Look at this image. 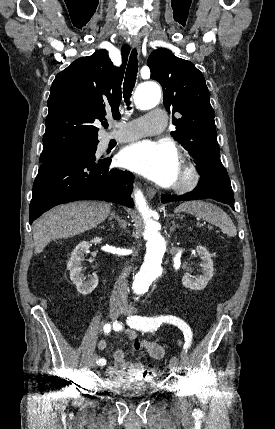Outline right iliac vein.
<instances>
[{
	"label": "right iliac vein",
	"mask_w": 275,
	"mask_h": 429,
	"mask_svg": "<svg viewBox=\"0 0 275 429\" xmlns=\"http://www.w3.org/2000/svg\"><path fill=\"white\" fill-rule=\"evenodd\" d=\"M122 308L123 307L120 303H111V305H110V316H111V318L116 319L119 316V314L121 313ZM97 360H98V356H97V354H94L92 356V359H91L92 368L97 367Z\"/></svg>",
	"instance_id": "obj_1"
}]
</instances>
